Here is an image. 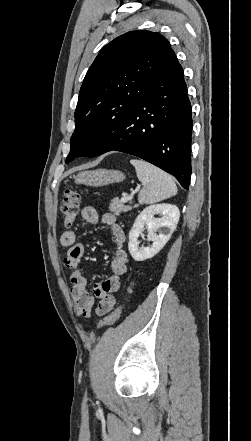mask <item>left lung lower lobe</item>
I'll list each match as a JSON object with an SVG mask.
<instances>
[{"label": "left lung lower lobe", "mask_w": 251, "mask_h": 441, "mask_svg": "<svg viewBox=\"0 0 251 441\" xmlns=\"http://www.w3.org/2000/svg\"><path fill=\"white\" fill-rule=\"evenodd\" d=\"M191 104L176 55L151 82L147 95L117 124L91 135L89 157L120 151L175 176L188 189L191 177Z\"/></svg>", "instance_id": "0a47b994"}]
</instances>
